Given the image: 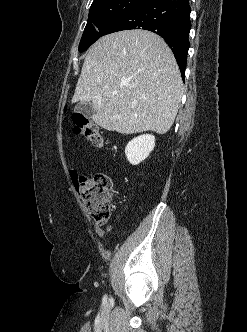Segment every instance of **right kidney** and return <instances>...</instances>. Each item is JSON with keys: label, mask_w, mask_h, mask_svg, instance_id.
Returning <instances> with one entry per match:
<instances>
[{"label": "right kidney", "mask_w": 247, "mask_h": 332, "mask_svg": "<svg viewBox=\"0 0 247 332\" xmlns=\"http://www.w3.org/2000/svg\"><path fill=\"white\" fill-rule=\"evenodd\" d=\"M155 147V136L143 134L133 138L125 148L127 160L132 165H138L145 160Z\"/></svg>", "instance_id": "obj_1"}]
</instances>
